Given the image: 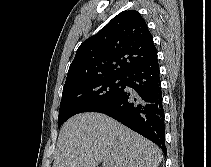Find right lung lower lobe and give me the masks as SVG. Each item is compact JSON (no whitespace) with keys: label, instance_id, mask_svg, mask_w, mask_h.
I'll return each instance as SVG.
<instances>
[{"label":"right lung lower lobe","instance_id":"98d812e1","mask_svg":"<svg viewBox=\"0 0 211 167\" xmlns=\"http://www.w3.org/2000/svg\"><path fill=\"white\" fill-rule=\"evenodd\" d=\"M125 89L96 112L104 113L157 144L164 154L165 124L157 56L130 69Z\"/></svg>","mask_w":211,"mask_h":167}]
</instances>
